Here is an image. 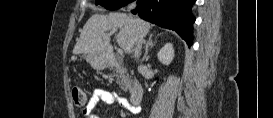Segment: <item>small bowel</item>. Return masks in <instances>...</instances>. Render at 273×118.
I'll use <instances>...</instances> for the list:
<instances>
[{"instance_id":"1","label":"small bowel","mask_w":273,"mask_h":118,"mask_svg":"<svg viewBox=\"0 0 273 118\" xmlns=\"http://www.w3.org/2000/svg\"><path fill=\"white\" fill-rule=\"evenodd\" d=\"M99 102H104L106 104L121 105L123 107H126L133 114H138L140 112L139 107L127 105L126 101L123 98L118 97L117 95L113 94L108 90L98 89L92 94V96L87 101L83 110L84 116L90 117L92 115L93 109Z\"/></svg>"}]
</instances>
